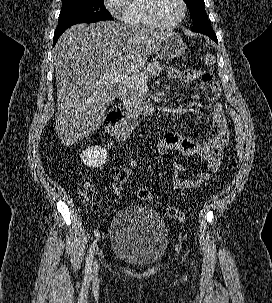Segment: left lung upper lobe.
Returning <instances> with one entry per match:
<instances>
[{"label":"left lung upper lobe","instance_id":"1","mask_svg":"<svg viewBox=\"0 0 272 303\" xmlns=\"http://www.w3.org/2000/svg\"><path fill=\"white\" fill-rule=\"evenodd\" d=\"M185 2L194 23L192 31L198 33L214 32L208 21L204 0H185Z\"/></svg>","mask_w":272,"mask_h":303}]
</instances>
